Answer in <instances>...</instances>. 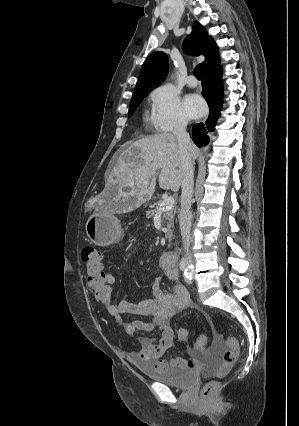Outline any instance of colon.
<instances>
[{"label":"colon","mask_w":299,"mask_h":426,"mask_svg":"<svg viewBox=\"0 0 299 426\" xmlns=\"http://www.w3.org/2000/svg\"><path fill=\"white\" fill-rule=\"evenodd\" d=\"M81 258L85 266L87 273V285L93 292L97 302L103 306H107L113 302L114 293L111 286L105 280L104 266L102 263V256L98 249L93 246H86L81 252ZM176 337L179 341L185 342L187 340V330L185 328H179L176 333ZM227 350L224 353L223 365L220 367L215 376L217 378L224 377L229 368L232 367L238 359V342L236 338L229 336L225 339ZM206 344V337H199L194 347L202 349ZM218 388V382L214 379L207 381L201 390V397L204 400L210 399Z\"/></svg>","instance_id":"colon-1"}]
</instances>
